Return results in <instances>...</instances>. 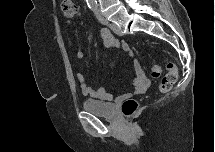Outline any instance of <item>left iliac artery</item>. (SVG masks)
Here are the masks:
<instances>
[{"label":"left iliac artery","mask_w":215,"mask_h":152,"mask_svg":"<svg viewBox=\"0 0 215 152\" xmlns=\"http://www.w3.org/2000/svg\"><path fill=\"white\" fill-rule=\"evenodd\" d=\"M94 12H95V15H96L97 19H98L102 24H104V25H107V24H108L107 20L104 19V17L102 16L101 12H100L98 9H95Z\"/></svg>","instance_id":"44dca946"}]
</instances>
